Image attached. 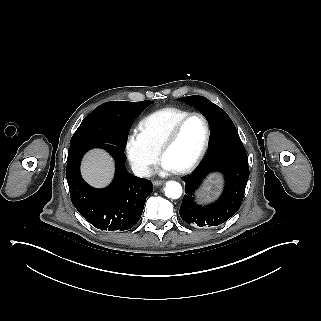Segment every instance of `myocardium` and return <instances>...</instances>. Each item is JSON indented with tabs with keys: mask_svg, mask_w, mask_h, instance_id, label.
I'll return each instance as SVG.
<instances>
[{
	"mask_svg": "<svg viewBox=\"0 0 321 321\" xmlns=\"http://www.w3.org/2000/svg\"><path fill=\"white\" fill-rule=\"evenodd\" d=\"M193 117H199L204 124V140L202 143V146L198 152V154L195 156V158L193 159V161L186 167L177 170L178 173L180 174H189L192 173L202 162V160L204 159L207 150L209 148V144H210V125L208 120L206 119V117L204 115H202L201 113H190L184 117H182L181 119H179L177 122L174 123V125L170 128V130L167 132V134L165 135V137L163 138V140L160 143L159 146V154L161 157H163L164 152L166 150V148L173 143V141L176 139L177 134L180 130V128L191 118Z\"/></svg>",
	"mask_w": 321,
	"mask_h": 321,
	"instance_id": "1",
	"label": "myocardium"
}]
</instances>
